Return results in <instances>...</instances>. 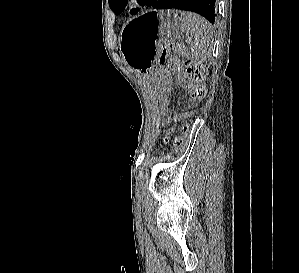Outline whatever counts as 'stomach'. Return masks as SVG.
I'll return each mask as SVG.
<instances>
[{
  "mask_svg": "<svg viewBox=\"0 0 299 273\" xmlns=\"http://www.w3.org/2000/svg\"><path fill=\"white\" fill-rule=\"evenodd\" d=\"M185 29L177 10L150 11L126 24L120 33L119 52L124 62L139 74L152 75L157 89L165 87L167 69H159L161 42L179 39Z\"/></svg>",
  "mask_w": 299,
  "mask_h": 273,
  "instance_id": "1",
  "label": "stomach"
}]
</instances>
